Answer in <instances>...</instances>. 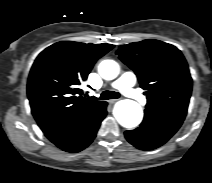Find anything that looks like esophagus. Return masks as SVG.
Here are the masks:
<instances>
[{"label": "esophagus", "instance_id": "esophagus-1", "mask_svg": "<svg viewBox=\"0 0 212 183\" xmlns=\"http://www.w3.org/2000/svg\"><path fill=\"white\" fill-rule=\"evenodd\" d=\"M119 99H111V100H109V103L110 104H113V103H115L116 101H118Z\"/></svg>", "mask_w": 212, "mask_h": 183}]
</instances>
